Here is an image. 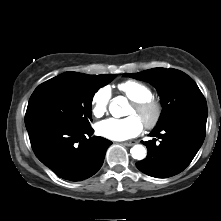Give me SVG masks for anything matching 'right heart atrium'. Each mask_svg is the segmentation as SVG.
Segmentation results:
<instances>
[{
    "instance_id": "1",
    "label": "right heart atrium",
    "mask_w": 221,
    "mask_h": 221,
    "mask_svg": "<svg viewBox=\"0 0 221 221\" xmlns=\"http://www.w3.org/2000/svg\"><path fill=\"white\" fill-rule=\"evenodd\" d=\"M111 99V89L108 86L99 88L92 97L91 110L94 116L101 117L105 114Z\"/></svg>"
}]
</instances>
